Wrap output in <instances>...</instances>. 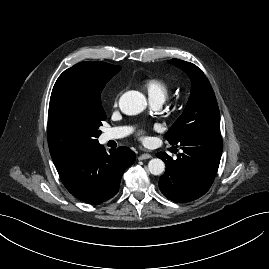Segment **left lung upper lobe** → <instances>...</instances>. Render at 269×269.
<instances>
[{"mask_svg": "<svg viewBox=\"0 0 269 269\" xmlns=\"http://www.w3.org/2000/svg\"><path fill=\"white\" fill-rule=\"evenodd\" d=\"M170 63L188 74L192 81V88L183 114L165 134L167 141L176 145L199 133H220L217 101L205 74L190 62L172 59Z\"/></svg>", "mask_w": 269, "mask_h": 269, "instance_id": "5c2ea615", "label": "left lung upper lobe"}]
</instances>
